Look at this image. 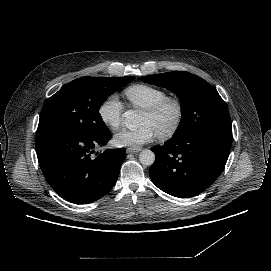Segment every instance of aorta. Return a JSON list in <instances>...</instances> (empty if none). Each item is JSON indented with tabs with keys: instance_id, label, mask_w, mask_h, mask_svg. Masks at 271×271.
I'll return each mask as SVG.
<instances>
[{
	"instance_id": "obj_1",
	"label": "aorta",
	"mask_w": 271,
	"mask_h": 271,
	"mask_svg": "<svg viewBox=\"0 0 271 271\" xmlns=\"http://www.w3.org/2000/svg\"><path fill=\"white\" fill-rule=\"evenodd\" d=\"M124 124L129 130H137L143 120L140 111L129 109L123 113ZM140 163L144 166H151L155 161V154L151 150H144L139 154Z\"/></svg>"
}]
</instances>
